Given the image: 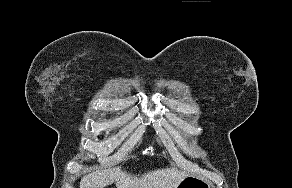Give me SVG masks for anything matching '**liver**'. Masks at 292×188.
Returning a JSON list of instances; mask_svg holds the SVG:
<instances>
[{
    "instance_id": "6515ba94",
    "label": "liver",
    "mask_w": 292,
    "mask_h": 188,
    "mask_svg": "<svg viewBox=\"0 0 292 188\" xmlns=\"http://www.w3.org/2000/svg\"><path fill=\"white\" fill-rule=\"evenodd\" d=\"M186 173L177 168H162L143 175H132L121 168L97 170L84 176L80 188H104L115 181L117 188H176Z\"/></svg>"
}]
</instances>
